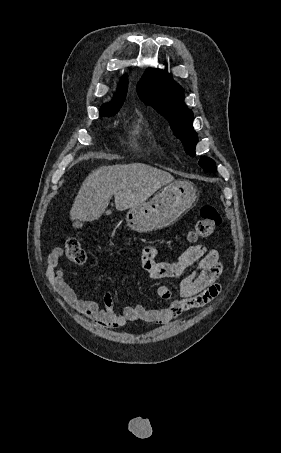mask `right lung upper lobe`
<instances>
[{
	"mask_svg": "<svg viewBox=\"0 0 281 453\" xmlns=\"http://www.w3.org/2000/svg\"><path fill=\"white\" fill-rule=\"evenodd\" d=\"M127 93V79L124 78L121 82L120 88L118 93L115 95L113 101L111 103L104 104L100 108V116H105L111 112L119 111L120 107L122 106Z\"/></svg>",
	"mask_w": 281,
	"mask_h": 453,
	"instance_id": "cb5924a9",
	"label": "right lung upper lobe"
}]
</instances>
